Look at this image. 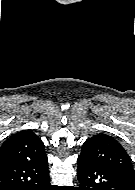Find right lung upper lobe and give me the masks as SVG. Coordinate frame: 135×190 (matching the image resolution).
Wrapping results in <instances>:
<instances>
[{"instance_id": "obj_1", "label": "right lung upper lobe", "mask_w": 135, "mask_h": 190, "mask_svg": "<svg viewBox=\"0 0 135 190\" xmlns=\"http://www.w3.org/2000/svg\"><path fill=\"white\" fill-rule=\"evenodd\" d=\"M44 143L30 130L21 131L7 139L0 148V165L33 161L45 157Z\"/></svg>"}]
</instances>
